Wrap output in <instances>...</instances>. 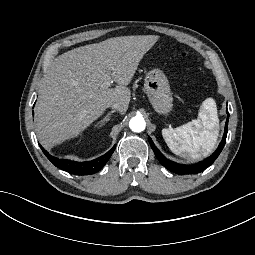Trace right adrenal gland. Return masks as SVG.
Instances as JSON below:
<instances>
[{"label": "right adrenal gland", "mask_w": 255, "mask_h": 255, "mask_svg": "<svg viewBox=\"0 0 255 255\" xmlns=\"http://www.w3.org/2000/svg\"><path fill=\"white\" fill-rule=\"evenodd\" d=\"M116 112V110H112V111H110L101 121H99L95 126L97 127V126H99V127H101V126H103L104 124H105V122H108L109 120H110V116L113 114V113H115Z\"/></svg>", "instance_id": "obj_1"}]
</instances>
